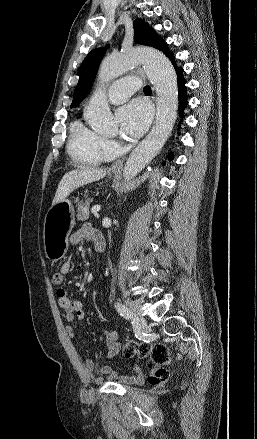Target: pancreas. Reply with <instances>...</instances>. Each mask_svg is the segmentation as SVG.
Returning a JSON list of instances; mask_svg holds the SVG:
<instances>
[{"instance_id":"obj_1","label":"pancreas","mask_w":257,"mask_h":439,"mask_svg":"<svg viewBox=\"0 0 257 439\" xmlns=\"http://www.w3.org/2000/svg\"><path fill=\"white\" fill-rule=\"evenodd\" d=\"M89 203H90V201L86 200L85 202L80 203L78 205L77 215H76L78 221L87 220L89 218V216H90L89 210H88Z\"/></svg>"}]
</instances>
